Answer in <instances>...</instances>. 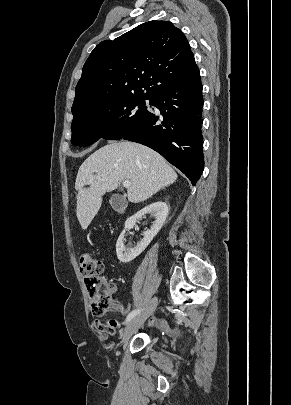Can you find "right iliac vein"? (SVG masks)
Masks as SVG:
<instances>
[{
  "label": "right iliac vein",
  "mask_w": 291,
  "mask_h": 405,
  "mask_svg": "<svg viewBox=\"0 0 291 405\" xmlns=\"http://www.w3.org/2000/svg\"><path fill=\"white\" fill-rule=\"evenodd\" d=\"M157 298L154 297L148 307L136 317L132 318L124 328L121 334L122 341H126L143 323L148 317H150L157 307Z\"/></svg>",
  "instance_id": "obj_1"
}]
</instances>
